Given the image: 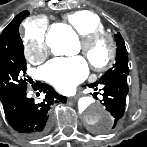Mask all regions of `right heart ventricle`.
Returning <instances> with one entry per match:
<instances>
[{"mask_svg": "<svg viewBox=\"0 0 147 147\" xmlns=\"http://www.w3.org/2000/svg\"><path fill=\"white\" fill-rule=\"evenodd\" d=\"M65 20L81 37L104 30V24L101 18L91 11L82 10L70 13L65 16Z\"/></svg>", "mask_w": 147, "mask_h": 147, "instance_id": "1", "label": "right heart ventricle"}]
</instances>
